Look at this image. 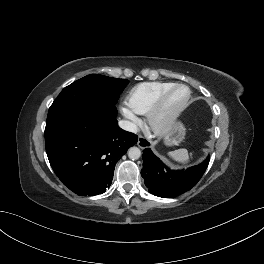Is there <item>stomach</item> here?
I'll list each match as a JSON object with an SVG mask.
<instances>
[{
	"label": "stomach",
	"mask_w": 264,
	"mask_h": 264,
	"mask_svg": "<svg viewBox=\"0 0 264 264\" xmlns=\"http://www.w3.org/2000/svg\"><path fill=\"white\" fill-rule=\"evenodd\" d=\"M185 137V128L178 122L173 125L171 130L165 135L164 142L168 146L179 145Z\"/></svg>",
	"instance_id": "1"
}]
</instances>
